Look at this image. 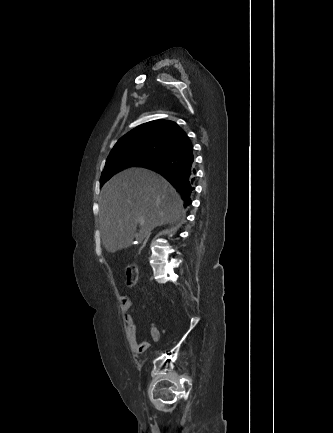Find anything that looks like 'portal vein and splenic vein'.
I'll list each match as a JSON object with an SVG mask.
<instances>
[{
  "mask_svg": "<svg viewBox=\"0 0 333 433\" xmlns=\"http://www.w3.org/2000/svg\"><path fill=\"white\" fill-rule=\"evenodd\" d=\"M144 223V220H140V224Z\"/></svg>",
  "mask_w": 333,
  "mask_h": 433,
  "instance_id": "1",
  "label": "portal vein and splenic vein"
}]
</instances>
